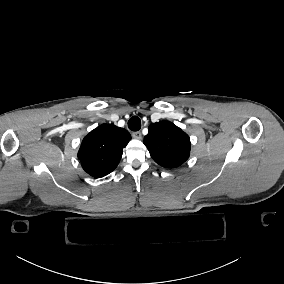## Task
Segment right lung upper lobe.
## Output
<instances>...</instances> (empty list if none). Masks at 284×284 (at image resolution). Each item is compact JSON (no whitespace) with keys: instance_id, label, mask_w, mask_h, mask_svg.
<instances>
[{"instance_id":"right-lung-upper-lobe-1","label":"right lung upper lobe","mask_w":284,"mask_h":284,"mask_svg":"<svg viewBox=\"0 0 284 284\" xmlns=\"http://www.w3.org/2000/svg\"><path fill=\"white\" fill-rule=\"evenodd\" d=\"M130 140L131 136L126 129L113 124L100 125L84 137L78 159L90 176L103 177L117 167L123 148Z\"/></svg>"}]
</instances>
